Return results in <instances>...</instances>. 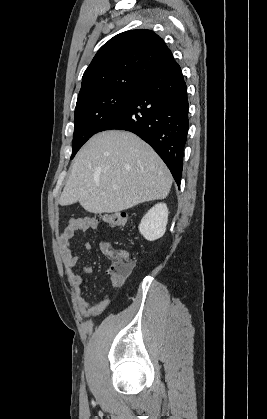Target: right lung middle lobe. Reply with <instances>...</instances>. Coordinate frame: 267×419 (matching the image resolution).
<instances>
[{"instance_id": "1", "label": "right lung middle lobe", "mask_w": 267, "mask_h": 419, "mask_svg": "<svg viewBox=\"0 0 267 419\" xmlns=\"http://www.w3.org/2000/svg\"><path fill=\"white\" fill-rule=\"evenodd\" d=\"M139 88L140 85L124 86L77 101L71 159L91 136L100 132L124 108Z\"/></svg>"}]
</instances>
